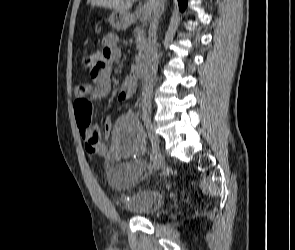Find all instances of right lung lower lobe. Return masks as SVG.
<instances>
[{
	"label": "right lung lower lobe",
	"mask_w": 295,
	"mask_h": 250,
	"mask_svg": "<svg viewBox=\"0 0 295 250\" xmlns=\"http://www.w3.org/2000/svg\"><path fill=\"white\" fill-rule=\"evenodd\" d=\"M179 8L183 11L186 8L187 0H178Z\"/></svg>",
	"instance_id": "1"
}]
</instances>
